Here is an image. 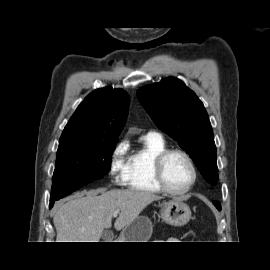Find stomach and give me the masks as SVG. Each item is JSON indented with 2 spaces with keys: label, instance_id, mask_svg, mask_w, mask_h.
<instances>
[{
  "label": "stomach",
  "instance_id": "obj_1",
  "mask_svg": "<svg viewBox=\"0 0 270 270\" xmlns=\"http://www.w3.org/2000/svg\"><path fill=\"white\" fill-rule=\"evenodd\" d=\"M163 221L174 226H183L191 219L189 206L179 199L166 201L161 207ZM152 235V223L146 216H138L121 232V242H147Z\"/></svg>",
  "mask_w": 270,
  "mask_h": 270
}]
</instances>
